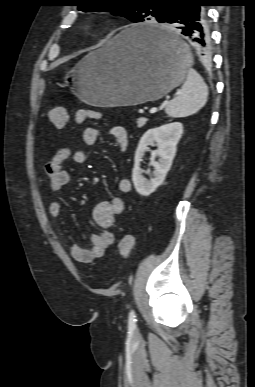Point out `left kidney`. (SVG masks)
<instances>
[{
	"mask_svg": "<svg viewBox=\"0 0 255 387\" xmlns=\"http://www.w3.org/2000/svg\"><path fill=\"white\" fill-rule=\"evenodd\" d=\"M182 133V123L173 122L149 129L141 137L135 152L134 168L132 171V181L139 194L142 196H149L163 183L176 155V146ZM148 146L157 147L156 150L151 151V165L154 167V177L151 180H147L142 175L140 167V162L142 161L145 152L149 151ZM157 157L158 161H155V158Z\"/></svg>",
	"mask_w": 255,
	"mask_h": 387,
	"instance_id": "1",
	"label": "left kidney"
}]
</instances>
